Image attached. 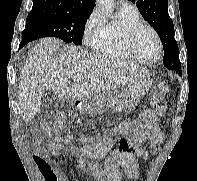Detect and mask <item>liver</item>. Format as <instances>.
<instances>
[{
  "instance_id": "1",
  "label": "liver",
  "mask_w": 197,
  "mask_h": 181,
  "mask_svg": "<svg viewBox=\"0 0 197 181\" xmlns=\"http://www.w3.org/2000/svg\"><path fill=\"white\" fill-rule=\"evenodd\" d=\"M61 41L43 38L34 48L21 69L18 102L23 121L29 122L41 110L42 97L54 90L60 98L84 100L101 92L115 90L151 76L139 65L107 55H100L68 45L59 53ZM80 75L81 83L70 79Z\"/></svg>"
}]
</instances>
